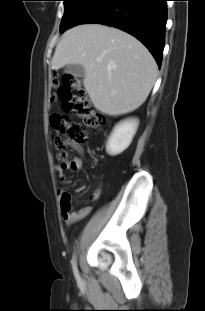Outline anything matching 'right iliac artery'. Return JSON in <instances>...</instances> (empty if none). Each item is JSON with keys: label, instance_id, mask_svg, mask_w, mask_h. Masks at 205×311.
Segmentation results:
<instances>
[{"label": "right iliac artery", "instance_id": "obj_1", "mask_svg": "<svg viewBox=\"0 0 205 311\" xmlns=\"http://www.w3.org/2000/svg\"><path fill=\"white\" fill-rule=\"evenodd\" d=\"M72 267H73V272H74V276H75L76 280L78 282H80V275H79V272H78V269H77V264H76L75 256L72 259Z\"/></svg>", "mask_w": 205, "mask_h": 311}]
</instances>
